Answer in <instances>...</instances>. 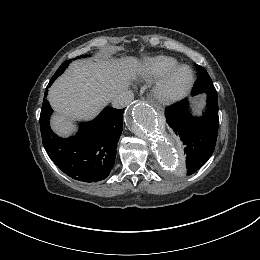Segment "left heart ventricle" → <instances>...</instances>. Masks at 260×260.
I'll use <instances>...</instances> for the list:
<instances>
[{"label":"left heart ventricle","instance_id":"b2bd125f","mask_svg":"<svg viewBox=\"0 0 260 260\" xmlns=\"http://www.w3.org/2000/svg\"><path fill=\"white\" fill-rule=\"evenodd\" d=\"M189 78H190V73L188 69L185 68L180 69L174 74L172 78V86L181 87L188 82Z\"/></svg>","mask_w":260,"mask_h":260}]
</instances>
